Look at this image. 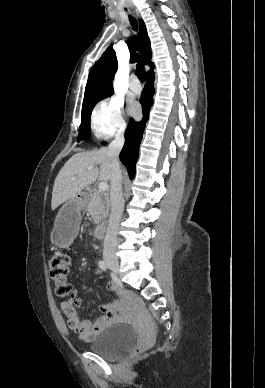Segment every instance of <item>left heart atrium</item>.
<instances>
[{
	"label": "left heart atrium",
	"mask_w": 265,
	"mask_h": 388,
	"mask_svg": "<svg viewBox=\"0 0 265 388\" xmlns=\"http://www.w3.org/2000/svg\"><path fill=\"white\" fill-rule=\"evenodd\" d=\"M130 112L133 114V115H137L138 112H139V107H138V104L133 102L130 106Z\"/></svg>",
	"instance_id": "39dd6f15"
}]
</instances>
